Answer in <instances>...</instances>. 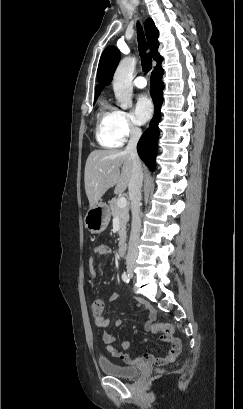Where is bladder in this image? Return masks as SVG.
Instances as JSON below:
<instances>
[{
    "label": "bladder",
    "mask_w": 243,
    "mask_h": 409,
    "mask_svg": "<svg viewBox=\"0 0 243 409\" xmlns=\"http://www.w3.org/2000/svg\"><path fill=\"white\" fill-rule=\"evenodd\" d=\"M98 366L106 375L121 379L134 378L141 373L138 366H123L110 360H99Z\"/></svg>",
    "instance_id": "1"
}]
</instances>
